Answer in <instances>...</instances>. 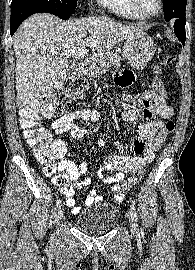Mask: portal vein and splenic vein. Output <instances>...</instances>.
Returning a JSON list of instances; mask_svg holds the SVG:
<instances>
[{
  "label": "portal vein and splenic vein",
  "mask_w": 195,
  "mask_h": 270,
  "mask_svg": "<svg viewBox=\"0 0 195 270\" xmlns=\"http://www.w3.org/2000/svg\"><path fill=\"white\" fill-rule=\"evenodd\" d=\"M64 55L67 56V57H88L89 54H88V50L86 49H72V50H67V51H64ZM93 55H97V54H93Z\"/></svg>",
  "instance_id": "portal-vein-and-splenic-vein-1"
}]
</instances>
